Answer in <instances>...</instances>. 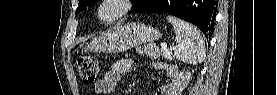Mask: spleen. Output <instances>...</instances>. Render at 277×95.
I'll list each match as a JSON object with an SVG mask.
<instances>
[{
    "label": "spleen",
    "mask_w": 277,
    "mask_h": 95,
    "mask_svg": "<svg viewBox=\"0 0 277 95\" xmlns=\"http://www.w3.org/2000/svg\"><path fill=\"white\" fill-rule=\"evenodd\" d=\"M167 20L175 30L176 46L174 55L176 59L187 64L202 62L205 56V46L197 28L173 16H168Z\"/></svg>",
    "instance_id": "1"
}]
</instances>
